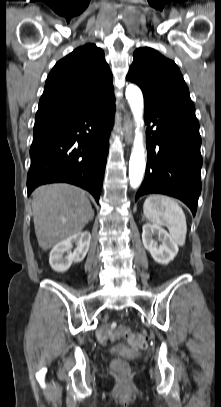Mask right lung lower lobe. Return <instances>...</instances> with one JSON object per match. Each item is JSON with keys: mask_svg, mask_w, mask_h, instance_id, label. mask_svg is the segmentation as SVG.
Segmentation results:
<instances>
[{"mask_svg": "<svg viewBox=\"0 0 221 407\" xmlns=\"http://www.w3.org/2000/svg\"><path fill=\"white\" fill-rule=\"evenodd\" d=\"M115 98L83 112L34 125L28 195L39 185L67 182L98 202L114 125Z\"/></svg>", "mask_w": 221, "mask_h": 407, "instance_id": "obj_1", "label": "right lung lower lobe"}]
</instances>
